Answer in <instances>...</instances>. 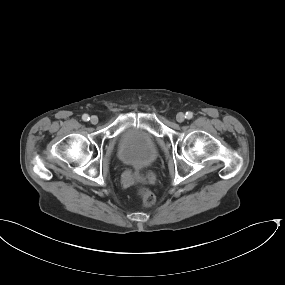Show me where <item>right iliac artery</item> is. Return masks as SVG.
I'll return each instance as SVG.
<instances>
[{"label":"right iliac artery","mask_w":285,"mask_h":285,"mask_svg":"<svg viewBox=\"0 0 285 285\" xmlns=\"http://www.w3.org/2000/svg\"><path fill=\"white\" fill-rule=\"evenodd\" d=\"M82 119H83V121H88L90 118H89L88 114H84L82 116Z\"/></svg>","instance_id":"obj_1"}]
</instances>
